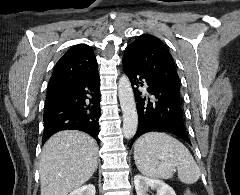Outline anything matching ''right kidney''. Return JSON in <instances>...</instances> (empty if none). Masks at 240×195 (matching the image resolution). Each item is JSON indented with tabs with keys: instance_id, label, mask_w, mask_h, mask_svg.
Listing matches in <instances>:
<instances>
[{
	"instance_id": "right-kidney-1",
	"label": "right kidney",
	"mask_w": 240,
	"mask_h": 195,
	"mask_svg": "<svg viewBox=\"0 0 240 195\" xmlns=\"http://www.w3.org/2000/svg\"><path fill=\"white\" fill-rule=\"evenodd\" d=\"M95 185L93 183H87V185H82V187H77L70 191L69 195H95Z\"/></svg>"
}]
</instances>
